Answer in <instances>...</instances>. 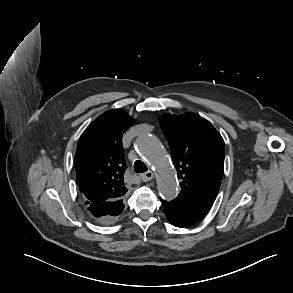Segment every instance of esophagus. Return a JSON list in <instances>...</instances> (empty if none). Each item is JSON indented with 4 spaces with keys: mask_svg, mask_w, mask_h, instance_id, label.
I'll list each match as a JSON object with an SVG mask.
<instances>
[{
    "mask_svg": "<svg viewBox=\"0 0 293 293\" xmlns=\"http://www.w3.org/2000/svg\"><path fill=\"white\" fill-rule=\"evenodd\" d=\"M139 178L143 181V182H147L150 181L154 178V174L152 171H147L143 174L139 175Z\"/></svg>",
    "mask_w": 293,
    "mask_h": 293,
    "instance_id": "esophagus-1",
    "label": "esophagus"
}]
</instances>
